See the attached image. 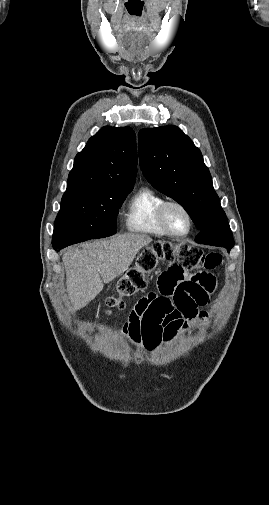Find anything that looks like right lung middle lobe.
Instances as JSON below:
<instances>
[{"mask_svg": "<svg viewBox=\"0 0 269 505\" xmlns=\"http://www.w3.org/2000/svg\"><path fill=\"white\" fill-rule=\"evenodd\" d=\"M130 192L66 191L55 220L53 247L115 234L118 210Z\"/></svg>", "mask_w": 269, "mask_h": 505, "instance_id": "right-lung-middle-lobe-1", "label": "right lung middle lobe"}]
</instances>
